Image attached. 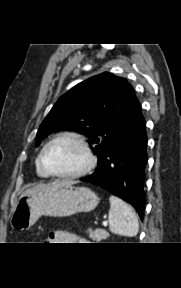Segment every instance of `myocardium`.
Returning a JSON list of instances; mask_svg holds the SVG:
<instances>
[{
	"mask_svg": "<svg viewBox=\"0 0 181 288\" xmlns=\"http://www.w3.org/2000/svg\"><path fill=\"white\" fill-rule=\"evenodd\" d=\"M62 139H69V140H73L74 142H76L81 149L83 150L84 156H85V162L84 165L77 171L72 172V173H66V174H61V173H56L54 171H52L46 164L45 162V153L47 151V149L55 142L62 140ZM39 161L40 164L42 166V168L44 169V171L51 177H55V178H60V179H74V178H78L81 177L83 175H85L86 173H88L95 165V158L94 155L92 153V150L87 142V140L85 139V137L75 131H64V132H60L58 134H56L55 136H53L42 148L40 154H39Z\"/></svg>",
	"mask_w": 181,
	"mask_h": 288,
	"instance_id": "obj_1",
	"label": "myocardium"
}]
</instances>
